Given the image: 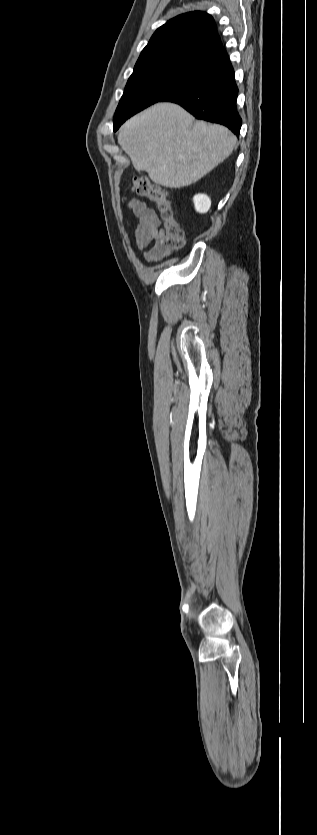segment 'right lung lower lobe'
Masks as SVG:
<instances>
[{"label": "right lung lower lobe", "mask_w": 317, "mask_h": 835, "mask_svg": "<svg viewBox=\"0 0 317 835\" xmlns=\"http://www.w3.org/2000/svg\"><path fill=\"white\" fill-rule=\"evenodd\" d=\"M205 75L198 84L173 93L163 101L181 105L195 118L218 123L239 135L242 120L236 110L238 88L224 48L190 57Z\"/></svg>", "instance_id": "98d812e1"}]
</instances>
